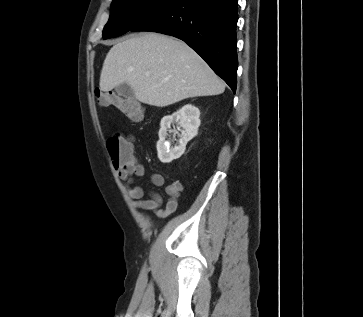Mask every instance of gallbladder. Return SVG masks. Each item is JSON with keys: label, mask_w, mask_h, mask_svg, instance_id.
<instances>
[{"label": "gallbladder", "mask_w": 363, "mask_h": 317, "mask_svg": "<svg viewBox=\"0 0 363 317\" xmlns=\"http://www.w3.org/2000/svg\"><path fill=\"white\" fill-rule=\"evenodd\" d=\"M115 90L118 95L124 98L127 99L134 98V91L127 83H122L118 85Z\"/></svg>", "instance_id": "gallbladder-1"}]
</instances>
